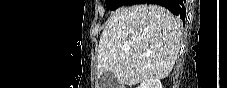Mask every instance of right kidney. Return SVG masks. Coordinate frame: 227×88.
Returning <instances> with one entry per match:
<instances>
[{
    "instance_id": "right-kidney-1",
    "label": "right kidney",
    "mask_w": 227,
    "mask_h": 88,
    "mask_svg": "<svg viewBox=\"0 0 227 88\" xmlns=\"http://www.w3.org/2000/svg\"><path fill=\"white\" fill-rule=\"evenodd\" d=\"M138 88H162V84L159 79H148L143 81Z\"/></svg>"
}]
</instances>
